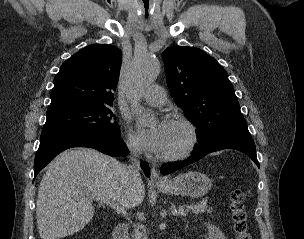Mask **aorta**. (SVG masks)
Wrapping results in <instances>:
<instances>
[{"mask_svg":"<svg viewBox=\"0 0 304 239\" xmlns=\"http://www.w3.org/2000/svg\"><path fill=\"white\" fill-rule=\"evenodd\" d=\"M159 66V61L149 55L134 58L128 78V93L137 115H147V112L138 104V95L145 87L155 81L159 73Z\"/></svg>","mask_w":304,"mask_h":239,"instance_id":"1","label":"aorta"}]
</instances>
